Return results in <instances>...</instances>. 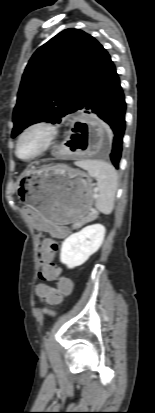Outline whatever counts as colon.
<instances>
[{"label":"colon","mask_w":155,"mask_h":413,"mask_svg":"<svg viewBox=\"0 0 155 413\" xmlns=\"http://www.w3.org/2000/svg\"><path fill=\"white\" fill-rule=\"evenodd\" d=\"M55 247L56 244L53 241L46 240L40 246L38 252L40 279L44 281L56 279L55 285L58 287V289L49 291L45 298L51 306L60 304L63 299L71 293L74 287L71 278H67L66 274L60 275V269L53 261Z\"/></svg>","instance_id":"colon-1"}]
</instances>
